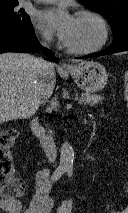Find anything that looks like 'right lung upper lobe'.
<instances>
[{
    "instance_id": "1",
    "label": "right lung upper lobe",
    "mask_w": 128,
    "mask_h": 213,
    "mask_svg": "<svg viewBox=\"0 0 128 213\" xmlns=\"http://www.w3.org/2000/svg\"><path fill=\"white\" fill-rule=\"evenodd\" d=\"M18 4V0H0V6Z\"/></svg>"
}]
</instances>
